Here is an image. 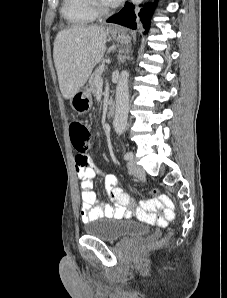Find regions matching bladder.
<instances>
[{
	"label": "bladder",
	"mask_w": 227,
	"mask_h": 298,
	"mask_svg": "<svg viewBox=\"0 0 227 298\" xmlns=\"http://www.w3.org/2000/svg\"><path fill=\"white\" fill-rule=\"evenodd\" d=\"M83 230L88 236L114 242L124 238L146 235L150 228L137 221L113 218L90 221L84 225Z\"/></svg>",
	"instance_id": "bladder-1"
}]
</instances>
